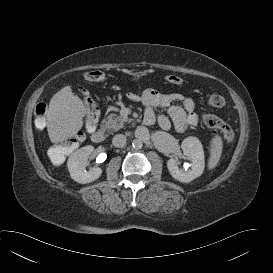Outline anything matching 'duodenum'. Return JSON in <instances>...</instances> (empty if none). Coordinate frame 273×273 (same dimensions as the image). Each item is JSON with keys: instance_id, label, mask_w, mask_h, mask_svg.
<instances>
[{"instance_id": "duodenum-1", "label": "duodenum", "mask_w": 273, "mask_h": 273, "mask_svg": "<svg viewBox=\"0 0 273 273\" xmlns=\"http://www.w3.org/2000/svg\"><path fill=\"white\" fill-rule=\"evenodd\" d=\"M146 120H147V118L144 116V123H145ZM145 124H146V123H145ZM91 138H92V141H93L94 143H101V142H103L104 139H105V130H104L102 127L96 129V130L92 133Z\"/></svg>"}]
</instances>
